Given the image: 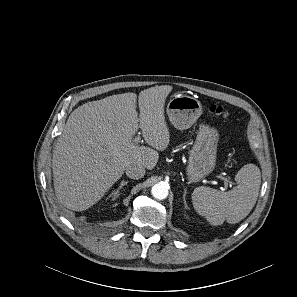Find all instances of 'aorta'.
<instances>
[{
    "mask_svg": "<svg viewBox=\"0 0 297 297\" xmlns=\"http://www.w3.org/2000/svg\"><path fill=\"white\" fill-rule=\"evenodd\" d=\"M152 196L158 200H164L168 196V187L164 183H157L152 187Z\"/></svg>",
    "mask_w": 297,
    "mask_h": 297,
    "instance_id": "762f6f07",
    "label": "aorta"
}]
</instances>
